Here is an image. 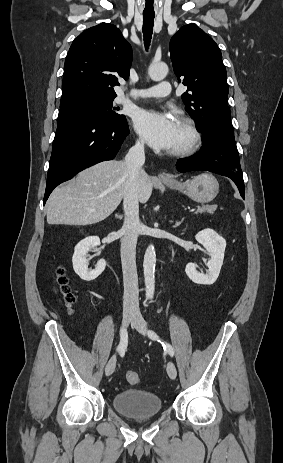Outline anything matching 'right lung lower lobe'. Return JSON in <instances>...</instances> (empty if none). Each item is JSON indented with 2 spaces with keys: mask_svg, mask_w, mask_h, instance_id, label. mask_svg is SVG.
<instances>
[{
  "mask_svg": "<svg viewBox=\"0 0 283 463\" xmlns=\"http://www.w3.org/2000/svg\"><path fill=\"white\" fill-rule=\"evenodd\" d=\"M129 134L126 117H83L57 126L47 175L44 204L53 189L98 162L112 160Z\"/></svg>",
  "mask_w": 283,
  "mask_h": 463,
  "instance_id": "98d812e1",
  "label": "right lung lower lobe"
}]
</instances>
